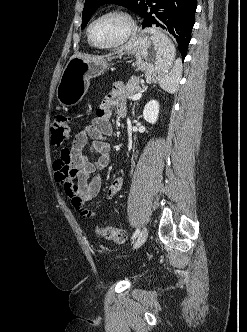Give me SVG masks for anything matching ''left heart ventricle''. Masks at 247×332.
<instances>
[{"mask_svg":"<svg viewBox=\"0 0 247 332\" xmlns=\"http://www.w3.org/2000/svg\"><path fill=\"white\" fill-rule=\"evenodd\" d=\"M128 29L127 21L120 16H106L97 20L91 29L93 41L100 45H108L120 40Z\"/></svg>","mask_w":247,"mask_h":332,"instance_id":"obj_1","label":"left heart ventricle"}]
</instances>
